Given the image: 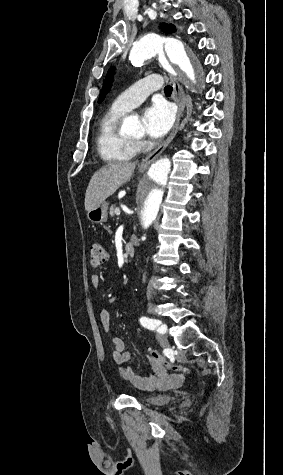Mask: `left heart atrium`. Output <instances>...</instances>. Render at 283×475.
Wrapping results in <instances>:
<instances>
[{
    "instance_id": "39dd6f15",
    "label": "left heart atrium",
    "mask_w": 283,
    "mask_h": 475,
    "mask_svg": "<svg viewBox=\"0 0 283 475\" xmlns=\"http://www.w3.org/2000/svg\"><path fill=\"white\" fill-rule=\"evenodd\" d=\"M175 120L173 106L162 100L154 101L143 113V125L147 136L161 138L172 128Z\"/></svg>"
}]
</instances>
